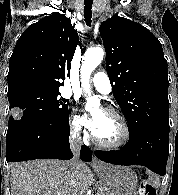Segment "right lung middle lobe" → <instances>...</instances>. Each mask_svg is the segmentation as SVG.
I'll return each mask as SVG.
<instances>
[{
  "label": "right lung middle lobe",
  "mask_w": 178,
  "mask_h": 195,
  "mask_svg": "<svg viewBox=\"0 0 178 195\" xmlns=\"http://www.w3.org/2000/svg\"><path fill=\"white\" fill-rule=\"evenodd\" d=\"M59 90L29 89L8 96L10 109L16 115L10 117L19 119L22 116L53 119L68 116L67 100L59 97Z\"/></svg>",
  "instance_id": "obj_1"
}]
</instances>
